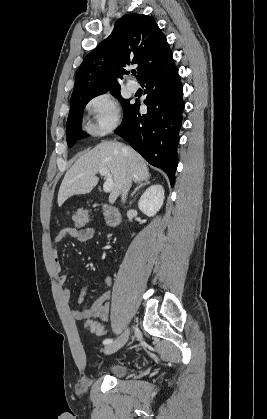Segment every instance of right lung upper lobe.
<instances>
[{
  "mask_svg": "<svg viewBox=\"0 0 267 419\" xmlns=\"http://www.w3.org/2000/svg\"><path fill=\"white\" fill-rule=\"evenodd\" d=\"M173 61L165 35L153 18L128 14L114 25L113 32L89 53L76 73L71 100L118 90V79L130 64H138L137 79Z\"/></svg>",
  "mask_w": 267,
  "mask_h": 419,
  "instance_id": "cb5924a9",
  "label": "right lung upper lobe"
}]
</instances>
